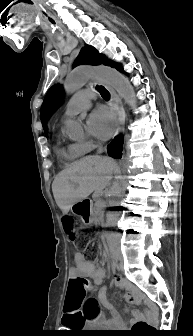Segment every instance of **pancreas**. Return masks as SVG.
<instances>
[{
    "label": "pancreas",
    "mask_w": 193,
    "mask_h": 336,
    "mask_svg": "<svg viewBox=\"0 0 193 336\" xmlns=\"http://www.w3.org/2000/svg\"><path fill=\"white\" fill-rule=\"evenodd\" d=\"M102 207H104L103 203H95L94 204L93 210H94V215L96 216L95 221L98 224H101V222H102V218L99 216L102 213V211H101Z\"/></svg>",
    "instance_id": "cf45deb5"
}]
</instances>
